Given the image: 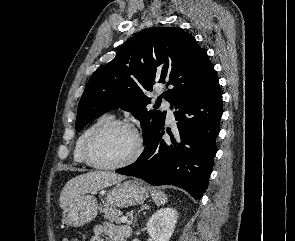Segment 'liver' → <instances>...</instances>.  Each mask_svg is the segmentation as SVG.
<instances>
[{
  "label": "liver",
  "instance_id": "liver-1",
  "mask_svg": "<svg viewBox=\"0 0 295 241\" xmlns=\"http://www.w3.org/2000/svg\"><path fill=\"white\" fill-rule=\"evenodd\" d=\"M124 179L125 176L103 171L78 175L65 184L59 198L60 207L65 209L80 196L102 190Z\"/></svg>",
  "mask_w": 295,
  "mask_h": 241
}]
</instances>
